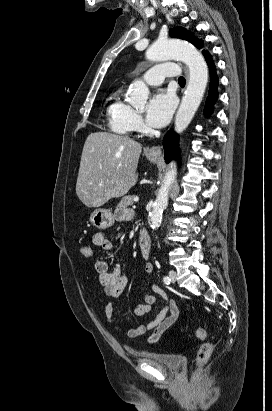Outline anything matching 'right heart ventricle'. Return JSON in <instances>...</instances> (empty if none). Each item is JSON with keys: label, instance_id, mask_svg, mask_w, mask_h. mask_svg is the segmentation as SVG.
I'll use <instances>...</instances> for the list:
<instances>
[{"label": "right heart ventricle", "instance_id": "obj_1", "mask_svg": "<svg viewBox=\"0 0 272 411\" xmlns=\"http://www.w3.org/2000/svg\"><path fill=\"white\" fill-rule=\"evenodd\" d=\"M132 108L120 98L119 92L112 94L107 106V116L112 131L126 135L132 129L130 125V114Z\"/></svg>", "mask_w": 272, "mask_h": 411}]
</instances>
